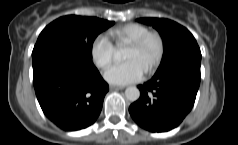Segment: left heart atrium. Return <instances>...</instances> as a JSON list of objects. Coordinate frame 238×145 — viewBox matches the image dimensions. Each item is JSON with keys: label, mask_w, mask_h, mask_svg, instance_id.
Here are the masks:
<instances>
[{"label": "left heart atrium", "mask_w": 238, "mask_h": 145, "mask_svg": "<svg viewBox=\"0 0 238 145\" xmlns=\"http://www.w3.org/2000/svg\"><path fill=\"white\" fill-rule=\"evenodd\" d=\"M144 72L137 61L127 60L109 67L104 72V77L109 83L124 85L140 80Z\"/></svg>", "instance_id": "left-heart-atrium-1"}]
</instances>
